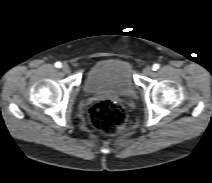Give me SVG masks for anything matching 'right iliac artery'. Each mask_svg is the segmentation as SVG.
<instances>
[{"mask_svg":"<svg viewBox=\"0 0 212 183\" xmlns=\"http://www.w3.org/2000/svg\"><path fill=\"white\" fill-rule=\"evenodd\" d=\"M55 67L60 68L61 67V63L60 62H56L55 63Z\"/></svg>","mask_w":212,"mask_h":183,"instance_id":"obj_1","label":"right iliac artery"}]
</instances>
